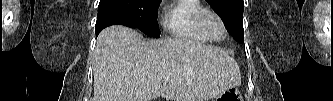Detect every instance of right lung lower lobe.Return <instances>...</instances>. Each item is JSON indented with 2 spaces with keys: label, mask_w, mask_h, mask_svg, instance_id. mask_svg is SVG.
I'll return each mask as SVG.
<instances>
[{
  "label": "right lung lower lobe",
  "mask_w": 333,
  "mask_h": 101,
  "mask_svg": "<svg viewBox=\"0 0 333 101\" xmlns=\"http://www.w3.org/2000/svg\"><path fill=\"white\" fill-rule=\"evenodd\" d=\"M116 24L131 27L130 19L118 5L111 1L99 4L97 22L95 26L96 37L104 28Z\"/></svg>",
  "instance_id": "1"
}]
</instances>
